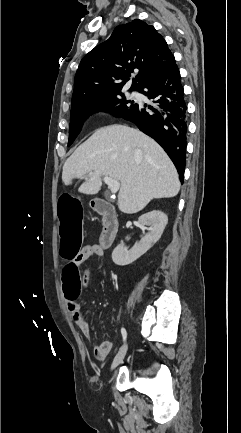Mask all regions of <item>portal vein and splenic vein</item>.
I'll list each match as a JSON object with an SVG mask.
<instances>
[{
  "label": "portal vein and splenic vein",
  "instance_id": "18ae733b",
  "mask_svg": "<svg viewBox=\"0 0 241 433\" xmlns=\"http://www.w3.org/2000/svg\"><path fill=\"white\" fill-rule=\"evenodd\" d=\"M103 181L110 188L111 193H116L120 188V182L117 180H113L110 177H104Z\"/></svg>",
  "mask_w": 241,
  "mask_h": 433
}]
</instances>
